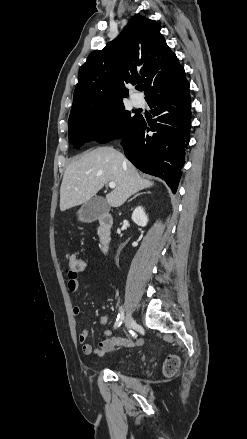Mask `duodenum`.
<instances>
[{"mask_svg":"<svg viewBox=\"0 0 247 439\" xmlns=\"http://www.w3.org/2000/svg\"><path fill=\"white\" fill-rule=\"evenodd\" d=\"M112 225L113 218L110 214H103L98 218L97 237L104 252L108 250L111 242Z\"/></svg>","mask_w":247,"mask_h":439,"instance_id":"1","label":"duodenum"}]
</instances>
